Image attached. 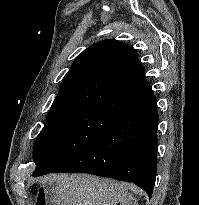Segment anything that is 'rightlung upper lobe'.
Returning <instances> with one entry per match:
<instances>
[{
    "instance_id": "obj_1",
    "label": "right lung upper lobe",
    "mask_w": 199,
    "mask_h": 205,
    "mask_svg": "<svg viewBox=\"0 0 199 205\" xmlns=\"http://www.w3.org/2000/svg\"><path fill=\"white\" fill-rule=\"evenodd\" d=\"M142 82H147L145 70L134 48L115 39L103 40L74 60L50 112L88 107L121 119L143 105V98L129 88Z\"/></svg>"
}]
</instances>
